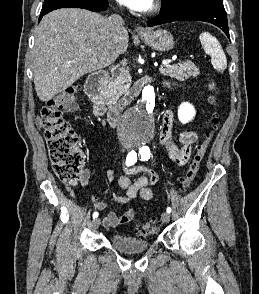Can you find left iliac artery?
Listing matches in <instances>:
<instances>
[{
	"instance_id": "44dca946",
	"label": "left iliac artery",
	"mask_w": 259,
	"mask_h": 294,
	"mask_svg": "<svg viewBox=\"0 0 259 294\" xmlns=\"http://www.w3.org/2000/svg\"><path fill=\"white\" fill-rule=\"evenodd\" d=\"M140 156L143 160H148L150 158V149L148 146H143L142 148H140ZM167 213H170L171 212V208L170 207H167L166 209Z\"/></svg>"
}]
</instances>
